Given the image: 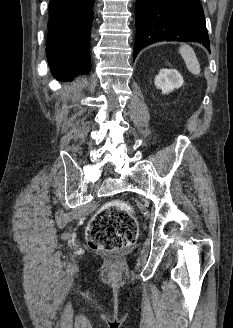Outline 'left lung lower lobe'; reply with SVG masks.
<instances>
[{
	"mask_svg": "<svg viewBox=\"0 0 233 328\" xmlns=\"http://www.w3.org/2000/svg\"><path fill=\"white\" fill-rule=\"evenodd\" d=\"M158 41H196L209 48L203 8L199 0H136L138 52Z\"/></svg>",
	"mask_w": 233,
	"mask_h": 328,
	"instance_id": "left-lung-lower-lobe-1",
	"label": "left lung lower lobe"
}]
</instances>
